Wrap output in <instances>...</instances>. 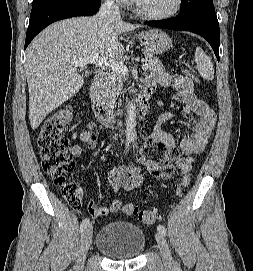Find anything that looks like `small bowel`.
Wrapping results in <instances>:
<instances>
[{
  "label": "small bowel",
  "mask_w": 253,
  "mask_h": 271,
  "mask_svg": "<svg viewBox=\"0 0 253 271\" xmlns=\"http://www.w3.org/2000/svg\"><path fill=\"white\" fill-rule=\"evenodd\" d=\"M194 78L184 75H171L162 73L150 75L145 83L144 91L151 94L158 86L173 88L183 104V115L192 117V131L184 137L180 146L176 144L175 137L162 130V125L174 118L176 114L171 111L161 113L156 119L150 135L144 140L143 148L161 146L164 151L160 159L142 158V166L155 178L167 179L174 170L189 174L193 164V155L202 153L216 125V114L205 101L194 94ZM99 127L93 123L87 125L86 130L73 134L80 144L69 147V152L74 157H79L84 147L96 149L99 145ZM182 153L183 157L180 156ZM141 169L135 166H117L108 174V180L115 192L123 189L126 191L138 188L143 183ZM88 211L93 217L106 216L111 211L108 207L97 206L90 202Z\"/></svg>",
  "instance_id": "small-bowel-1"
}]
</instances>
